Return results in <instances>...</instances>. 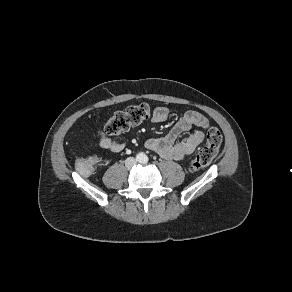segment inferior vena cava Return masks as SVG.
I'll list each match as a JSON object with an SVG mask.
<instances>
[{
  "instance_id": "inferior-vena-cava-1",
  "label": "inferior vena cava",
  "mask_w": 292,
  "mask_h": 292,
  "mask_svg": "<svg viewBox=\"0 0 292 292\" xmlns=\"http://www.w3.org/2000/svg\"><path fill=\"white\" fill-rule=\"evenodd\" d=\"M137 164V161L134 157H128L126 160H125V166L128 168V169H131L132 167H134L135 165Z\"/></svg>"
}]
</instances>
